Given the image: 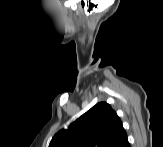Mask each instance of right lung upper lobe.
Listing matches in <instances>:
<instances>
[{"label":"right lung upper lobe","mask_w":163,"mask_h":147,"mask_svg":"<svg viewBox=\"0 0 163 147\" xmlns=\"http://www.w3.org/2000/svg\"><path fill=\"white\" fill-rule=\"evenodd\" d=\"M126 132L120 118L106 102H100L57 132L49 147H113Z\"/></svg>","instance_id":"obj_1"}]
</instances>
